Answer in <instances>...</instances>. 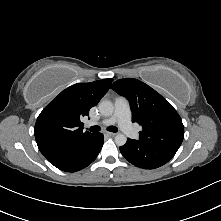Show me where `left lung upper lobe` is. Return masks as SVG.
I'll use <instances>...</instances> for the list:
<instances>
[{
    "label": "left lung upper lobe",
    "mask_w": 221,
    "mask_h": 221,
    "mask_svg": "<svg viewBox=\"0 0 221 221\" xmlns=\"http://www.w3.org/2000/svg\"><path fill=\"white\" fill-rule=\"evenodd\" d=\"M111 88L129 100L132 120L142 126L137 141L178 150L184 138V126L179 114L164 97L133 78L117 80Z\"/></svg>",
    "instance_id": "1"
}]
</instances>
